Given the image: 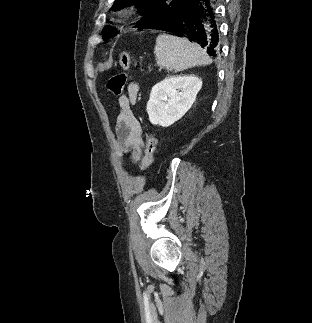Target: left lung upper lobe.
Instances as JSON below:
<instances>
[{
    "label": "left lung upper lobe",
    "instance_id": "1",
    "mask_svg": "<svg viewBox=\"0 0 312 323\" xmlns=\"http://www.w3.org/2000/svg\"><path fill=\"white\" fill-rule=\"evenodd\" d=\"M173 2L174 0H115L111 9L116 11L128 4H135L144 14V17L137 22L136 26L140 30L154 29L171 11L170 6ZM102 32L104 39H109L117 34V31L109 26H106Z\"/></svg>",
    "mask_w": 312,
    "mask_h": 323
}]
</instances>
